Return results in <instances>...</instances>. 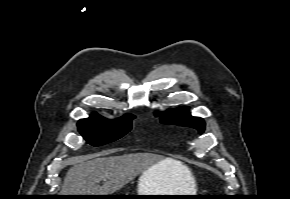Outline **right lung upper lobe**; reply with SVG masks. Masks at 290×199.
Listing matches in <instances>:
<instances>
[{"label": "right lung upper lobe", "instance_id": "obj_1", "mask_svg": "<svg viewBox=\"0 0 290 199\" xmlns=\"http://www.w3.org/2000/svg\"><path fill=\"white\" fill-rule=\"evenodd\" d=\"M92 116H99V115L96 114V113H94V114H92ZM125 116H134V115H132V114H127V115H125ZM99 117H101V116H99Z\"/></svg>", "mask_w": 290, "mask_h": 199}]
</instances>
